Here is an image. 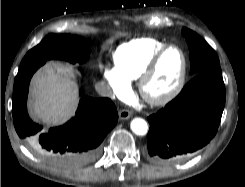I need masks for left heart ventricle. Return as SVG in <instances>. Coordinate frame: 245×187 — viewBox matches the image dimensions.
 I'll use <instances>...</instances> for the list:
<instances>
[{
	"mask_svg": "<svg viewBox=\"0 0 245 187\" xmlns=\"http://www.w3.org/2000/svg\"><path fill=\"white\" fill-rule=\"evenodd\" d=\"M181 66L180 53L175 49L169 50L161 59L155 76L148 84V92L159 96L171 89L178 78Z\"/></svg>",
	"mask_w": 245,
	"mask_h": 187,
	"instance_id": "1",
	"label": "left heart ventricle"
}]
</instances>
